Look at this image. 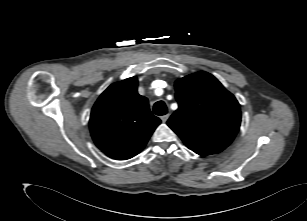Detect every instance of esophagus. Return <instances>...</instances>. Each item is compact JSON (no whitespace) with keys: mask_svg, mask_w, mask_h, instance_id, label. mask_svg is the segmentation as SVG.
Returning <instances> with one entry per match:
<instances>
[{"mask_svg":"<svg viewBox=\"0 0 307 221\" xmlns=\"http://www.w3.org/2000/svg\"><path fill=\"white\" fill-rule=\"evenodd\" d=\"M168 118H169V114H165V115L161 116V120L164 123L168 120Z\"/></svg>","mask_w":307,"mask_h":221,"instance_id":"esophagus-1","label":"esophagus"}]
</instances>
